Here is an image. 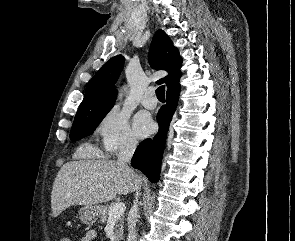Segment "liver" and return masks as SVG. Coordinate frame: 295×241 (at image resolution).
I'll return each instance as SVG.
<instances>
[{
  "label": "liver",
  "instance_id": "liver-1",
  "mask_svg": "<svg viewBox=\"0 0 295 241\" xmlns=\"http://www.w3.org/2000/svg\"><path fill=\"white\" fill-rule=\"evenodd\" d=\"M143 179L113 160H80L65 163L51 192L52 216L72 205L108 202L140 188Z\"/></svg>",
  "mask_w": 295,
  "mask_h": 241
}]
</instances>
